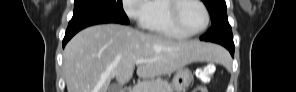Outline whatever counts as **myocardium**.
<instances>
[{"instance_id":"myocardium-1","label":"myocardium","mask_w":296,"mask_h":92,"mask_svg":"<svg viewBox=\"0 0 296 92\" xmlns=\"http://www.w3.org/2000/svg\"><path fill=\"white\" fill-rule=\"evenodd\" d=\"M187 1H193V2L198 3L202 7V9L205 13V23H204L203 27L195 32H189V31L185 30L179 20L180 8ZM169 19H170L171 24L174 26V28L177 31H179L181 34H183L186 37H193V36H197V35L201 34L203 31H205L207 29V27L210 23V13H209L206 5L200 0H174L170 4Z\"/></svg>"}]
</instances>
